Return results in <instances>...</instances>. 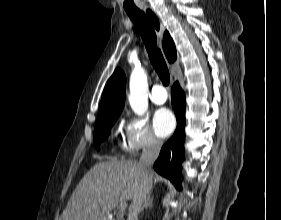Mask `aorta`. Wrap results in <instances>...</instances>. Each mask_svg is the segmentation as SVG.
<instances>
[{"label":"aorta","instance_id":"obj_1","mask_svg":"<svg viewBox=\"0 0 281 220\" xmlns=\"http://www.w3.org/2000/svg\"><path fill=\"white\" fill-rule=\"evenodd\" d=\"M130 94L128 100L135 114L142 116L148 109V83L143 68L137 66L130 76Z\"/></svg>","mask_w":281,"mask_h":220}]
</instances>
